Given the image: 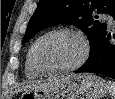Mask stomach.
Instances as JSON below:
<instances>
[{"instance_id":"stomach-1","label":"stomach","mask_w":115,"mask_h":99,"mask_svg":"<svg viewBox=\"0 0 115 99\" xmlns=\"http://www.w3.org/2000/svg\"><path fill=\"white\" fill-rule=\"evenodd\" d=\"M107 90L106 82L95 74H72L44 88L26 90L21 99H100Z\"/></svg>"}]
</instances>
